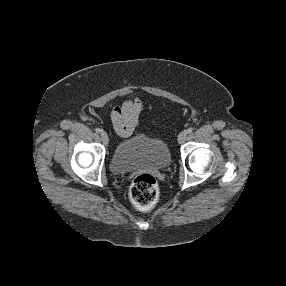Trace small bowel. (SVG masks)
<instances>
[{"label": "small bowel", "instance_id": "small-bowel-1", "mask_svg": "<svg viewBox=\"0 0 286 286\" xmlns=\"http://www.w3.org/2000/svg\"><path fill=\"white\" fill-rule=\"evenodd\" d=\"M142 110L143 104L137 98L126 100L112 109L110 120L119 137L126 138L136 130Z\"/></svg>", "mask_w": 286, "mask_h": 286}]
</instances>
